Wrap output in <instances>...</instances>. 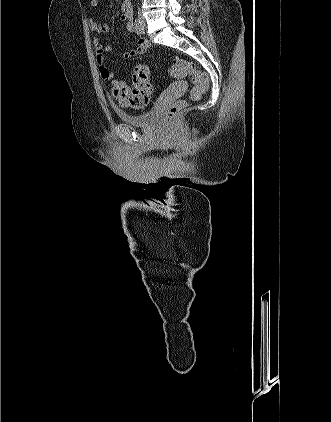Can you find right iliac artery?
<instances>
[{
	"label": "right iliac artery",
	"mask_w": 331,
	"mask_h": 422,
	"mask_svg": "<svg viewBox=\"0 0 331 422\" xmlns=\"http://www.w3.org/2000/svg\"><path fill=\"white\" fill-rule=\"evenodd\" d=\"M135 30H136L137 34H143L144 33L142 23L139 19H135Z\"/></svg>",
	"instance_id": "right-iliac-artery-1"
}]
</instances>
